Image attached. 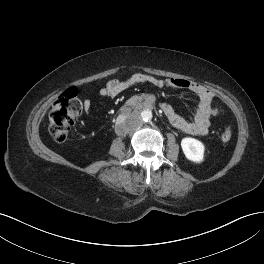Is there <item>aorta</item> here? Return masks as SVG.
Masks as SVG:
<instances>
[{
	"mask_svg": "<svg viewBox=\"0 0 264 264\" xmlns=\"http://www.w3.org/2000/svg\"><path fill=\"white\" fill-rule=\"evenodd\" d=\"M137 117L142 121H149L152 119V112L150 110H143Z\"/></svg>",
	"mask_w": 264,
	"mask_h": 264,
	"instance_id": "obj_1",
	"label": "aorta"
}]
</instances>
